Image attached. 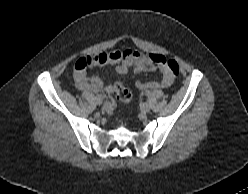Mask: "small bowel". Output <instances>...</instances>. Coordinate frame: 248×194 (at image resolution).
<instances>
[{
	"label": "small bowel",
	"mask_w": 248,
	"mask_h": 194,
	"mask_svg": "<svg viewBox=\"0 0 248 194\" xmlns=\"http://www.w3.org/2000/svg\"><path fill=\"white\" fill-rule=\"evenodd\" d=\"M89 59L94 62V66H114L116 73L120 75L127 74L131 70L135 72L159 71L161 75L159 81H137L135 86L140 90L166 89L173 82V76L166 67L155 65L151 60V55L139 51L131 49L117 50L108 54L101 53L89 57ZM74 82L76 87L82 91L96 93L100 91H112V86H105L98 77L88 76L87 70L75 72Z\"/></svg>",
	"instance_id": "c3829d8e"
}]
</instances>
